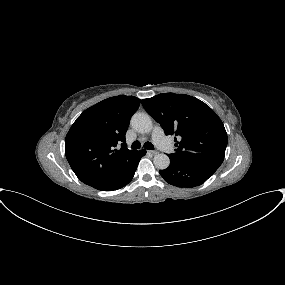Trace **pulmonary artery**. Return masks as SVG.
<instances>
[{
    "mask_svg": "<svg viewBox=\"0 0 285 285\" xmlns=\"http://www.w3.org/2000/svg\"><path fill=\"white\" fill-rule=\"evenodd\" d=\"M152 138L154 143L164 152L172 153L174 147L172 143L164 136L160 126L155 125L152 129Z\"/></svg>",
    "mask_w": 285,
    "mask_h": 285,
    "instance_id": "obj_1",
    "label": "pulmonary artery"
}]
</instances>
